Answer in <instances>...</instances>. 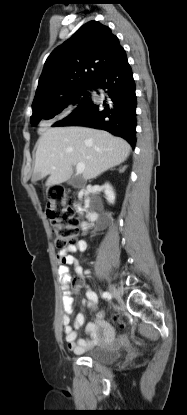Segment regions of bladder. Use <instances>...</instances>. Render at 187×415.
Here are the masks:
<instances>
[{
	"label": "bladder",
	"instance_id": "31cf9c89",
	"mask_svg": "<svg viewBox=\"0 0 187 415\" xmlns=\"http://www.w3.org/2000/svg\"><path fill=\"white\" fill-rule=\"evenodd\" d=\"M122 348H98L92 351L83 352L84 356L92 361L101 364H112L121 356Z\"/></svg>",
	"mask_w": 187,
	"mask_h": 415
}]
</instances>
